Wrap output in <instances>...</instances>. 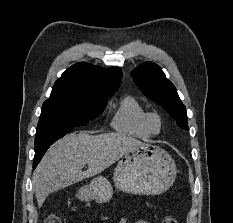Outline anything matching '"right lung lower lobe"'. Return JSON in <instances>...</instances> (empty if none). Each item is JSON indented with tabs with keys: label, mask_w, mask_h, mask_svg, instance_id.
<instances>
[{
	"label": "right lung lower lobe",
	"mask_w": 233,
	"mask_h": 223,
	"mask_svg": "<svg viewBox=\"0 0 233 223\" xmlns=\"http://www.w3.org/2000/svg\"><path fill=\"white\" fill-rule=\"evenodd\" d=\"M47 151V150H46ZM45 151V152H46ZM45 152H41V153H38V154H35V157H34V164H33V168L35 169L37 164L40 162L42 156L45 154Z\"/></svg>",
	"instance_id": "obj_1"
}]
</instances>
